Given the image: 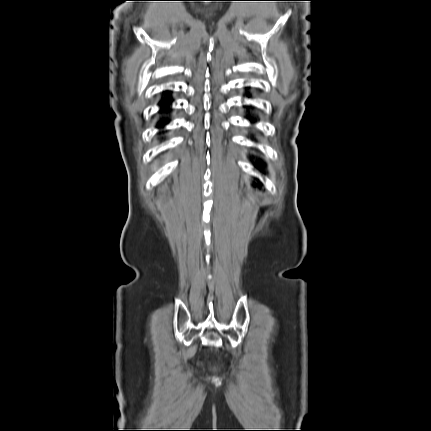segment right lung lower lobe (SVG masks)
I'll use <instances>...</instances> for the list:
<instances>
[{"mask_svg":"<svg viewBox=\"0 0 431 431\" xmlns=\"http://www.w3.org/2000/svg\"><path fill=\"white\" fill-rule=\"evenodd\" d=\"M170 103H171V101L169 99L162 100L160 102V110H161V112H169V110H170ZM167 123H168V120L161 121V122L158 123V127L159 126L163 127Z\"/></svg>","mask_w":431,"mask_h":431,"instance_id":"obj_1","label":"right lung lower lobe"}]
</instances>
